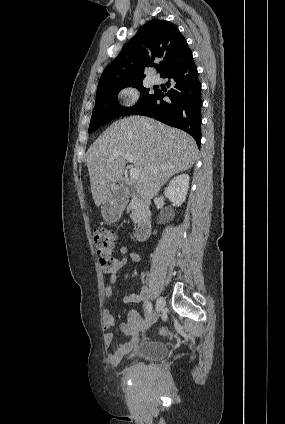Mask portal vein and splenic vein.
<instances>
[{"instance_id": "portal-vein-and-splenic-vein-1", "label": "portal vein and splenic vein", "mask_w": 285, "mask_h": 424, "mask_svg": "<svg viewBox=\"0 0 285 424\" xmlns=\"http://www.w3.org/2000/svg\"><path fill=\"white\" fill-rule=\"evenodd\" d=\"M119 156H123V157H125V159H126L128 162H130V163H132V162H133V159H132V157H131L129 154H124V153H122V152H115V153H113V154L111 155V157L109 158V161L111 162V161L115 160L116 158H118ZM138 177H139V171H138V169H136V168H131V169H130V178H131L132 180H137V179H138Z\"/></svg>"}]
</instances>
